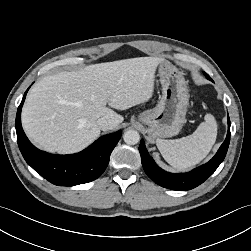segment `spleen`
<instances>
[{
  "label": "spleen",
  "mask_w": 251,
  "mask_h": 251,
  "mask_svg": "<svg viewBox=\"0 0 251 251\" xmlns=\"http://www.w3.org/2000/svg\"><path fill=\"white\" fill-rule=\"evenodd\" d=\"M217 129L215 117L208 113L193 134L176 140L157 139L156 145L167 163L185 170L200 163L209 154L216 141Z\"/></svg>",
  "instance_id": "obj_1"
}]
</instances>
